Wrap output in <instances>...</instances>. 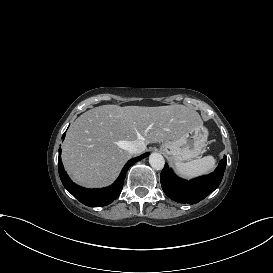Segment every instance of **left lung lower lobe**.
Here are the masks:
<instances>
[{"label":"left lung lower lobe","instance_id":"obj_1","mask_svg":"<svg viewBox=\"0 0 273 273\" xmlns=\"http://www.w3.org/2000/svg\"><path fill=\"white\" fill-rule=\"evenodd\" d=\"M226 167V157L220 161L216 170L193 180H183L176 177L165 164L160 180L164 193L179 203L195 204L213 192L221 183Z\"/></svg>","mask_w":273,"mask_h":273}]
</instances>
